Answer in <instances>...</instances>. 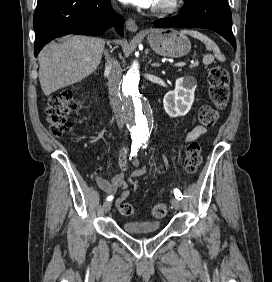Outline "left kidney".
Wrapping results in <instances>:
<instances>
[{"mask_svg":"<svg viewBox=\"0 0 272 282\" xmlns=\"http://www.w3.org/2000/svg\"><path fill=\"white\" fill-rule=\"evenodd\" d=\"M196 80L193 78H178L175 89L165 94L163 105L166 113L176 118L185 116L191 109L194 102Z\"/></svg>","mask_w":272,"mask_h":282,"instance_id":"left-kidney-1","label":"left kidney"}]
</instances>
